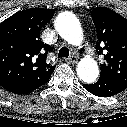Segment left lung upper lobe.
Here are the masks:
<instances>
[{"mask_svg": "<svg viewBox=\"0 0 127 127\" xmlns=\"http://www.w3.org/2000/svg\"><path fill=\"white\" fill-rule=\"evenodd\" d=\"M98 41L96 51L104 55L100 75L127 85V19L106 7L92 10Z\"/></svg>", "mask_w": 127, "mask_h": 127, "instance_id": "1", "label": "left lung upper lobe"}]
</instances>
